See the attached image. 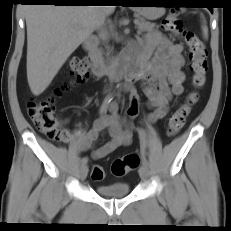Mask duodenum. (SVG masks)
<instances>
[{
  "mask_svg": "<svg viewBox=\"0 0 231 231\" xmlns=\"http://www.w3.org/2000/svg\"><path fill=\"white\" fill-rule=\"evenodd\" d=\"M85 49L89 54L92 65V73L96 76L111 75L115 80H121L123 77L132 75L135 72V66L139 62L140 54L136 51L130 52L117 63L106 65L99 52L97 51V41L95 38H89L85 42Z\"/></svg>",
  "mask_w": 231,
  "mask_h": 231,
  "instance_id": "410a0bca",
  "label": "duodenum"
}]
</instances>
